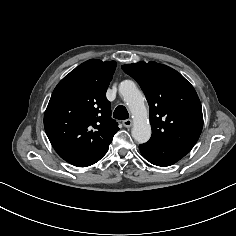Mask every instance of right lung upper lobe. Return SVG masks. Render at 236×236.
I'll return each instance as SVG.
<instances>
[{
	"instance_id": "1",
	"label": "right lung upper lobe",
	"mask_w": 236,
	"mask_h": 236,
	"mask_svg": "<svg viewBox=\"0 0 236 236\" xmlns=\"http://www.w3.org/2000/svg\"><path fill=\"white\" fill-rule=\"evenodd\" d=\"M115 68V61L88 60L55 87L44 128L57 153L93 155L109 147L119 130L106 98Z\"/></svg>"
}]
</instances>
